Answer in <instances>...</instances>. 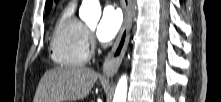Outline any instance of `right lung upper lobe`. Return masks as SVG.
<instances>
[{"label": "right lung upper lobe", "instance_id": "1", "mask_svg": "<svg viewBox=\"0 0 221 102\" xmlns=\"http://www.w3.org/2000/svg\"><path fill=\"white\" fill-rule=\"evenodd\" d=\"M52 6V0H46V12H49Z\"/></svg>", "mask_w": 221, "mask_h": 102}]
</instances>
